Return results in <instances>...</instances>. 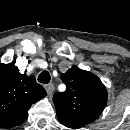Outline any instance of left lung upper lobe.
Returning a JSON list of instances; mask_svg holds the SVG:
<instances>
[{"label": "left lung upper lobe", "instance_id": "obj_1", "mask_svg": "<svg viewBox=\"0 0 130 130\" xmlns=\"http://www.w3.org/2000/svg\"><path fill=\"white\" fill-rule=\"evenodd\" d=\"M61 80L67 88L53 96L56 112L89 123L101 115L107 103V90L96 75L73 66L61 74Z\"/></svg>", "mask_w": 130, "mask_h": 130}]
</instances>
